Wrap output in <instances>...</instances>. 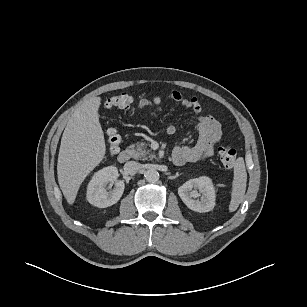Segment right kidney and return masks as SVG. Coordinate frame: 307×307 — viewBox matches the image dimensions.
I'll return each instance as SVG.
<instances>
[{
	"mask_svg": "<svg viewBox=\"0 0 307 307\" xmlns=\"http://www.w3.org/2000/svg\"><path fill=\"white\" fill-rule=\"evenodd\" d=\"M118 170L114 166H109L99 170L94 174L87 187L86 198L90 204L98 208H106L116 204L125 188L123 181L118 180ZM115 188L107 192V184Z\"/></svg>",
	"mask_w": 307,
	"mask_h": 307,
	"instance_id": "1",
	"label": "right kidney"
}]
</instances>
